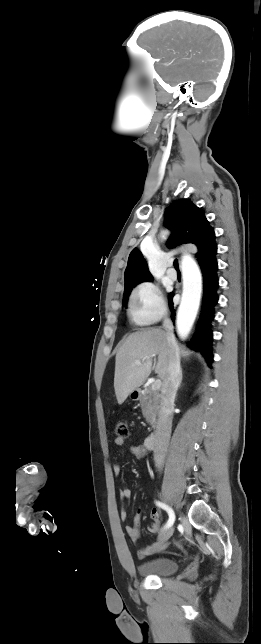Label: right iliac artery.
Listing matches in <instances>:
<instances>
[{"instance_id": "1", "label": "right iliac artery", "mask_w": 261, "mask_h": 644, "mask_svg": "<svg viewBox=\"0 0 261 644\" xmlns=\"http://www.w3.org/2000/svg\"><path fill=\"white\" fill-rule=\"evenodd\" d=\"M156 505L167 511V513L169 515V519H168L167 524L165 525V528L171 527L173 525L174 521H175V514H174L173 510L169 506H167L166 504H164V503H162L160 501H156Z\"/></svg>"}]
</instances>
